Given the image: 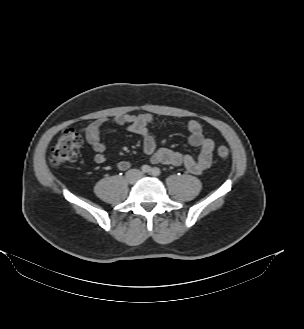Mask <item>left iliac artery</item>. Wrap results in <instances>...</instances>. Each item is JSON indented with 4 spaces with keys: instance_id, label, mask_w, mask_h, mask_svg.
I'll list each match as a JSON object with an SVG mask.
<instances>
[{
    "instance_id": "left-iliac-artery-1",
    "label": "left iliac artery",
    "mask_w": 304,
    "mask_h": 329,
    "mask_svg": "<svg viewBox=\"0 0 304 329\" xmlns=\"http://www.w3.org/2000/svg\"><path fill=\"white\" fill-rule=\"evenodd\" d=\"M151 174H152L153 176H158V175H160V169L157 168V167H154V168L152 169V171H151Z\"/></svg>"
}]
</instances>
